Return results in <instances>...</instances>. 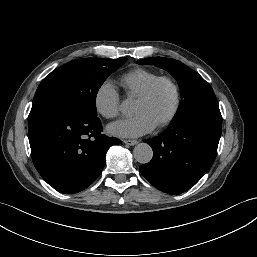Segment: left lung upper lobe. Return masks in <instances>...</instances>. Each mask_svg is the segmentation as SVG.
<instances>
[{"mask_svg": "<svg viewBox=\"0 0 257 257\" xmlns=\"http://www.w3.org/2000/svg\"><path fill=\"white\" fill-rule=\"evenodd\" d=\"M139 64H154L167 70L178 82L181 101L173 120L179 119L188 113L208 104L217 103L216 96L210 84L198 73L183 63L162 57H152L138 61Z\"/></svg>", "mask_w": 257, "mask_h": 257, "instance_id": "left-lung-upper-lobe-1", "label": "left lung upper lobe"}]
</instances>
